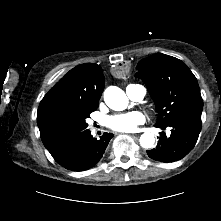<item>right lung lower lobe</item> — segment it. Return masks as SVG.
<instances>
[{
	"label": "right lung lower lobe",
	"mask_w": 221,
	"mask_h": 221,
	"mask_svg": "<svg viewBox=\"0 0 221 221\" xmlns=\"http://www.w3.org/2000/svg\"><path fill=\"white\" fill-rule=\"evenodd\" d=\"M112 133H104L99 140L87 131L67 146L50 152L56 162L72 171H84L92 168L102 158Z\"/></svg>",
	"instance_id": "1"
}]
</instances>
